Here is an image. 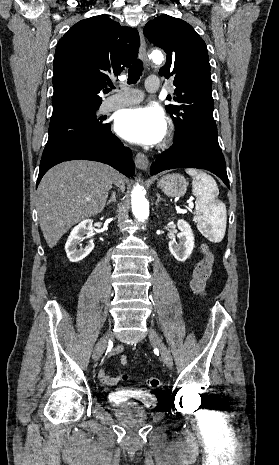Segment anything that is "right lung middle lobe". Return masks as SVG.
Returning a JSON list of instances; mask_svg holds the SVG:
<instances>
[{"mask_svg": "<svg viewBox=\"0 0 279 465\" xmlns=\"http://www.w3.org/2000/svg\"><path fill=\"white\" fill-rule=\"evenodd\" d=\"M96 109L72 117L49 127V137L42 157L57 150L66 143L82 137L96 136L110 130V124L102 122L96 117Z\"/></svg>", "mask_w": 279, "mask_h": 465, "instance_id": "1", "label": "right lung middle lobe"}]
</instances>
